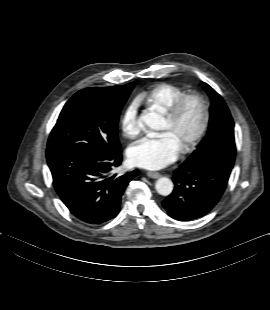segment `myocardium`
<instances>
[{
    "label": "myocardium",
    "instance_id": "1",
    "mask_svg": "<svg viewBox=\"0 0 270 310\" xmlns=\"http://www.w3.org/2000/svg\"><path fill=\"white\" fill-rule=\"evenodd\" d=\"M191 101L197 103L200 107L201 121L196 133L181 147V150L184 152L191 151L205 135L209 123L208 104L199 93H185L176 99L172 106L165 112L167 121L173 124L178 120L187 103Z\"/></svg>",
    "mask_w": 270,
    "mask_h": 310
}]
</instances>
